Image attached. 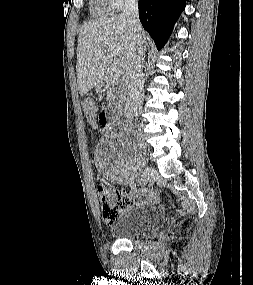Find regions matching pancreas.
<instances>
[{
	"label": "pancreas",
	"instance_id": "obj_1",
	"mask_svg": "<svg viewBox=\"0 0 253 285\" xmlns=\"http://www.w3.org/2000/svg\"><path fill=\"white\" fill-rule=\"evenodd\" d=\"M106 89L110 107L120 111L125 101L126 94L124 81L109 78L107 81Z\"/></svg>",
	"mask_w": 253,
	"mask_h": 285
}]
</instances>
